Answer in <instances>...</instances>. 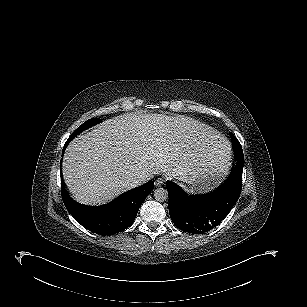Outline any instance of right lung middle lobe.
Here are the masks:
<instances>
[{
	"label": "right lung middle lobe",
	"mask_w": 307,
	"mask_h": 307,
	"mask_svg": "<svg viewBox=\"0 0 307 307\" xmlns=\"http://www.w3.org/2000/svg\"><path fill=\"white\" fill-rule=\"evenodd\" d=\"M101 119L96 118V119H89L86 122H84L79 128H77L72 135L69 137V139L67 140V142L69 143L77 134H79L80 132L84 131L85 129L100 123Z\"/></svg>",
	"instance_id": "dd1d6c3e"
}]
</instances>
